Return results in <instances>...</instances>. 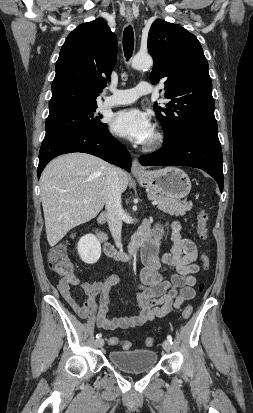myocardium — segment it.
<instances>
[{"label":"myocardium","instance_id":"myocardium-1","mask_svg":"<svg viewBox=\"0 0 253 413\" xmlns=\"http://www.w3.org/2000/svg\"><path fill=\"white\" fill-rule=\"evenodd\" d=\"M165 140V136L161 131H156L152 137V139L146 143L144 146V150L146 151H155L159 149Z\"/></svg>","mask_w":253,"mask_h":413}]
</instances>
